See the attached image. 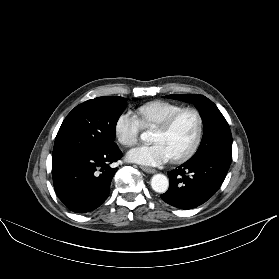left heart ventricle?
Instances as JSON below:
<instances>
[{"label": "left heart ventricle", "mask_w": 279, "mask_h": 279, "mask_svg": "<svg viewBox=\"0 0 279 279\" xmlns=\"http://www.w3.org/2000/svg\"><path fill=\"white\" fill-rule=\"evenodd\" d=\"M197 130L194 114L187 112L180 115L167 132L154 131L153 143H161L171 157L183 153L192 144Z\"/></svg>", "instance_id": "b2bd125f"}]
</instances>
